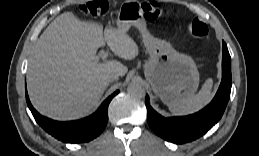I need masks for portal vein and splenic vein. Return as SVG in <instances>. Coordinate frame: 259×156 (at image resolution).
Instances as JSON below:
<instances>
[{"instance_id":"portal-vein-and-splenic-vein-1","label":"portal vein and splenic vein","mask_w":259,"mask_h":156,"mask_svg":"<svg viewBox=\"0 0 259 156\" xmlns=\"http://www.w3.org/2000/svg\"><path fill=\"white\" fill-rule=\"evenodd\" d=\"M100 57H101L102 60H106L107 57H108V53L105 52V51H101ZM97 59H98V57H97Z\"/></svg>"}]
</instances>
